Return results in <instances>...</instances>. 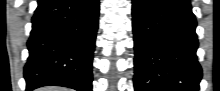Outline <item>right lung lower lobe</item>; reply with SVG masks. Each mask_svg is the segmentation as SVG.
Masks as SVG:
<instances>
[{"label": "right lung lower lobe", "instance_id": "right-lung-lower-lobe-1", "mask_svg": "<svg viewBox=\"0 0 220 91\" xmlns=\"http://www.w3.org/2000/svg\"><path fill=\"white\" fill-rule=\"evenodd\" d=\"M99 0H38L24 67L26 90L55 85L92 90Z\"/></svg>", "mask_w": 220, "mask_h": 91}]
</instances>
